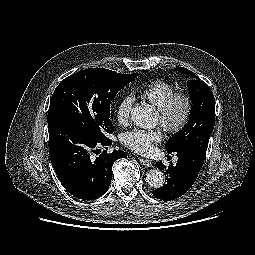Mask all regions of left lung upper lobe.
<instances>
[{
  "label": "left lung upper lobe",
  "mask_w": 255,
  "mask_h": 255,
  "mask_svg": "<svg viewBox=\"0 0 255 255\" xmlns=\"http://www.w3.org/2000/svg\"><path fill=\"white\" fill-rule=\"evenodd\" d=\"M180 72L192 77L187 82L192 101L189 121L183 130L174 134L165 148L168 153L198 149L206 152L210 135L215 124V99L209 86L192 71L178 67Z\"/></svg>",
  "instance_id": "obj_1"
}]
</instances>
